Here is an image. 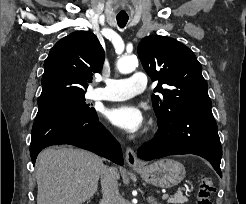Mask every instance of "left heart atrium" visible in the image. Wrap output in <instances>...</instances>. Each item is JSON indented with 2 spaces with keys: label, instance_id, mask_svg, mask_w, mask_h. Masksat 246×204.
<instances>
[{
  "label": "left heart atrium",
  "instance_id": "obj_1",
  "mask_svg": "<svg viewBox=\"0 0 246 204\" xmlns=\"http://www.w3.org/2000/svg\"><path fill=\"white\" fill-rule=\"evenodd\" d=\"M106 119L118 128L134 133L144 124L142 111L132 104H121L108 108L105 111Z\"/></svg>",
  "mask_w": 246,
  "mask_h": 204
}]
</instances>
